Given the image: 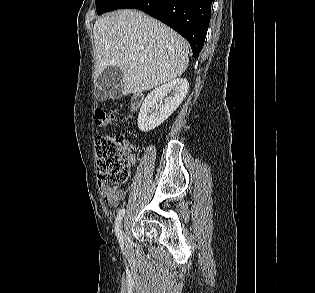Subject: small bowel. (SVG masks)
Wrapping results in <instances>:
<instances>
[{
	"label": "small bowel",
	"instance_id": "obj_1",
	"mask_svg": "<svg viewBox=\"0 0 315 293\" xmlns=\"http://www.w3.org/2000/svg\"><path fill=\"white\" fill-rule=\"evenodd\" d=\"M130 162L132 163L133 160L130 159ZM99 189L104 201L112 207L117 206L119 202L126 197L127 194L125 190L121 189L118 186H110L102 183H100Z\"/></svg>",
	"mask_w": 315,
	"mask_h": 293
}]
</instances>
